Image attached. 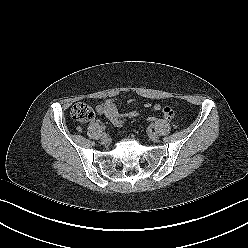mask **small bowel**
<instances>
[{"label": "small bowel", "mask_w": 248, "mask_h": 248, "mask_svg": "<svg viewBox=\"0 0 248 248\" xmlns=\"http://www.w3.org/2000/svg\"><path fill=\"white\" fill-rule=\"evenodd\" d=\"M131 102L132 100L129 101V103ZM144 107L150 108L153 111L161 110L166 120H171L174 117V110L168 105L161 106L160 104L146 103ZM96 112L100 115H104L116 127L122 126L125 119L134 118L138 115L136 110L121 113L118 103L112 99H107L102 104L96 106Z\"/></svg>", "instance_id": "1"}]
</instances>
